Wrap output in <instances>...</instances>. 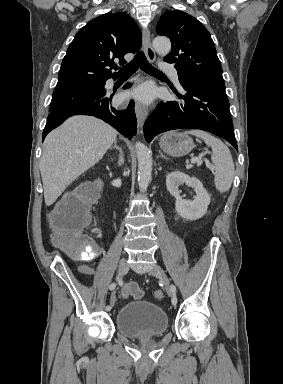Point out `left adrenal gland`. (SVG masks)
I'll list each match as a JSON object with an SVG mask.
<instances>
[{
    "mask_svg": "<svg viewBox=\"0 0 283 384\" xmlns=\"http://www.w3.org/2000/svg\"><path fill=\"white\" fill-rule=\"evenodd\" d=\"M159 154H160L159 158H164V160H168V158H166V156H163V154H162V152H160V150H159Z\"/></svg>",
    "mask_w": 283,
    "mask_h": 384,
    "instance_id": "obj_1",
    "label": "left adrenal gland"
}]
</instances>
